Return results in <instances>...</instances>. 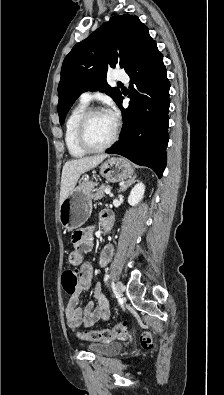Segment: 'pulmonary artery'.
I'll return each mask as SVG.
<instances>
[{
	"instance_id": "obj_1",
	"label": "pulmonary artery",
	"mask_w": 224,
	"mask_h": 395,
	"mask_svg": "<svg viewBox=\"0 0 224 395\" xmlns=\"http://www.w3.org/2000/svg\"><path fill=\"white\" fill-rule=\"evenodd\" d=\"M116 79L123 81V82H127L129 80V76L127 75V73L125 71L122 70H118L116 71ZM94 97V94L92 92H84L80 95V102L88 104Z\"/></svg>"
}]
</instances>
